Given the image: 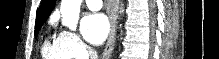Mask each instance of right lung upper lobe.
<instances>
[{"mask_svg":"<svg viewBox=\"0 0 219 59\" xmlns=\"http://www.w3.org/2000/svg\"><path fill=\"white\" fill-rule=\"evenodd\" d=\"M55 3H56V0H43L42 1V4L37 13L35 26L43 25V23L47 20L52 10L54 9Z\"/></svg>","mask_w":219,"mask_h":59,"instance_id":"right-lung-upper-lobe-1","label":"right lung upper lobe"}]
</instances>
